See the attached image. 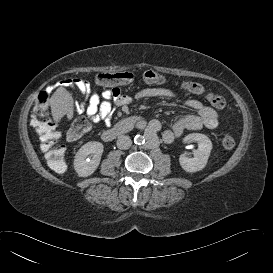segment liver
Segmentation results:
<instances>
[{
	"label": "liver",
	"mask_w": 273,
	"mask_h": 273,
	"mask_svg": "<svg viewBox=\"0 0 273 273\" xmlns=\"http://www.w3.org/2000/svg\"><path fill=\"white\" fill-rule=\"evenodd\" d=\"M73 97L63 87L58 88L50 99V107L55 122H60L63 116L67 115L70 120L73 118Z\"/></svg>",
	"instance_id": "liver-1"
}]
</instances>
